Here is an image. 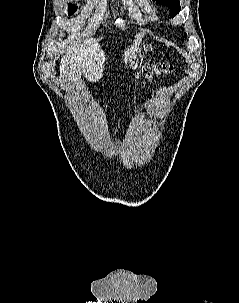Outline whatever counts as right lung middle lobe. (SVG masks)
<instances>
[{
  "instance_id": "1",
  "label": "right lung middle lobe",
  "mask_w": 239,
  "mask_h": 303,
  "mask_svg": "<svg viewBox=\"0 0 239 303\" xmlns=\"http://www.w3.org/2000/svg\"><path fill=\"white\" fill-rule=\"evenodd\" d=\"M77 7L75 5H69V15H72L76 11Z\"/></svg>"
}]
</instances>
